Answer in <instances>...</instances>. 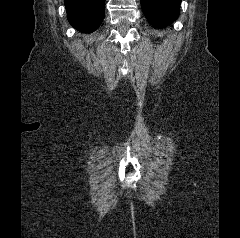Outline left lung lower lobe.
I'll use <instances>...</instances> for the list:
<instances>
[{
    "label": "left lung lower lobe",
    "instance_id": "obj_1",
    "mask_svg": "<svg viewBox=\"0 0 240 238\" xmlns=\"http://www.w3.org/2000/svg\"><path fill=\"white\" fill-rule=\"evenodd\" d=\"M181 0H141L143 13L156 28L166 27L179 16Z\"/></svg>",
    "mask_w": 240,
    "mask_h": 238
}]
</instances>
